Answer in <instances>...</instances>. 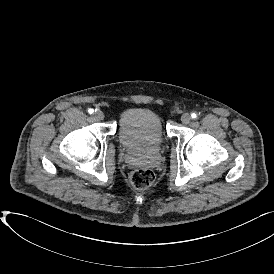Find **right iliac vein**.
Here are the masks:
<instances>
[{
	"instance_id": "1",
	"label": "right iliac vein",
	"mask_w": 274,
	"mask_h": 274,
	"mask_svg": "<svg viewBox=\"0 0 274 274\" xmlns=\"http://www.w3.org/2000/svg\"><path fill=\"white\" fill-rule=\"evenodd\" d=\"M94 118L96 120H103L104 119V113L100 110H96L94 113Z\"/></svg>"
}]
</instances>
